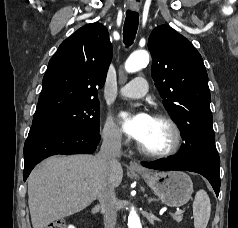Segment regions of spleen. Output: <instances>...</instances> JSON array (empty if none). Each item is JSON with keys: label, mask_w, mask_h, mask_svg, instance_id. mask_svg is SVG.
I'll return each mask as SVG.
<instances>
[{"label": "spleen", "mask_w": 238, "mask_h": 228, "mask_svg": "<svg viewBox=\"0 0 238 228\" xmlns=\"http://www.w3.org/2000/svg\"><path fill=\"white\" fill-rule=\"evenodd\" d=\"M211 214L210 198L205 190L197 191L193 201L195 228H206Z\"/></svg>", "instance_id": "obj_1"}]
</instances>
